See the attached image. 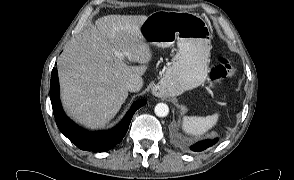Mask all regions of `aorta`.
<instances>
[{
    "label": "aorta",
    "mask_w": 294,
    "mask_h": 180,
    "mask_svg": "<svg viewBox=\"0 0 294 180\" xmlns=\"http://www.w3.org/2000/svg\"><path fill=\"white\" fill-rule=\"evenodd\" d=\"M154 112H155L156 116H158V117H165L169 113V107L165 103H158L155 106Z\"/></svg>",
    "instance_id": "762f6f07"
}]
</instances>
